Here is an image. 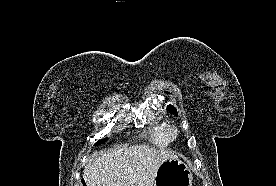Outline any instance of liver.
<instances>
[{
	"label": "liver",
	"instance_id": "6515ba94",
	"mask_svg": "<svg viewBox=\"0 0 276 186\" xmlns=\"http://www.w3.org/2000/svg\"><path fill=\"white\" fill-rule=\"evenodd\" d=\"M177 157L148 145L117 147L94 155L83 170L87 186H154L162 162Z\"/></svg>",
	"mask_w": 276,
	"mask_h": 186
}]
</instances>
